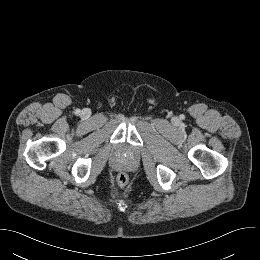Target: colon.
<instances>
[{
	"instance_id": "5ec220e1",
	"label": "colon",
	"mask_w": 260,
	"mask_h": 260,
	"mask_svg": "<svg viewBox=\"0 0 260 260\" xmlns=\"http://www.w3.org/2000/svg\"><path fill=\"white\" fill-rule=\"evenodd\" d=\"M117 182L120 186H125L128 182V177L126 174L124 173H120L118 176H117Z\"/></svg>"
}]
</instances>
